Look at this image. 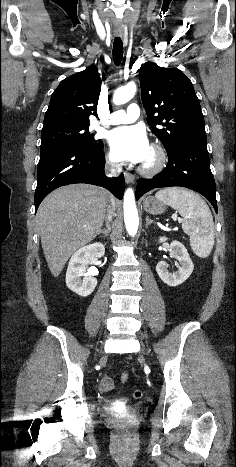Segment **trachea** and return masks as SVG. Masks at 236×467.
Masks as SVG:
<instances>
[{
  "mask_svg": "<svg viewBox=\"0 0 236 467\" xmlns=\"http://www.w3.org/2000/svg\"><path fill=\"white\" fill-rule=\"evenodd\" d=\"M123 58V43L121 38H115L113 43V61L116 66L120 65Z\"/></svg>",
  "mask_w": 236,
  "mask_h": 467,
  "instance_id": "trachea-1",
  "label": "trachea"
}]
</instances>
